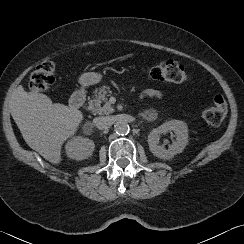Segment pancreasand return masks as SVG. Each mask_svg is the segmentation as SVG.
I'll use <instances>...</instances> for the list:
<instances>
[{
  "mask_svg": "<svg viewBox=\"0 0 244 244\" xmlns=\"http://www.w3.org/2000/svg\"><path fill=\"white\" fill-rule=\"evenodd\" d=\"M112 95V91L109 86H101L94 91V98L92 103L94 104V112L99 115H107L114 112L113 107L107 102V97ZM105 103L101 106L102 103Z\"/></svg>",
  "mask_w": 244,
  "mask_h": 244,
  "instance_id": "pancreas-1",
  "label": "pancreas"
}]
</instances>
